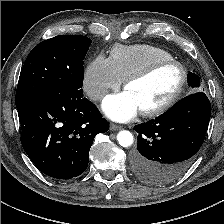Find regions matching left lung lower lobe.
<instances>
[{
	"label": "left lung lower lobe",
	"mask_w": 224,
	"mask_h": 224,
	"mask_svg": "<svg viewBox=\"0 0 224 224\" xmlns=\"http://www.w3.org/2000/svg\"><path fill=\"white\" fill-rule=\"evenodd\" d=\"M210 116L209 99L203 92H195L167 113L136 125L138 151L133 155L136 177L153 185L178 179L204 142Z\"/></svg>",
	"instance_id": "1"
}]
</instances>
